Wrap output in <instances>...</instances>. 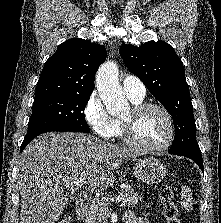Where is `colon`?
<instances>
[{"mask_svg":"<svg viewBox=\"0 0 221 223\" xmlns=\"http://www.w3.org/2000/svg\"><path fill=\"white\" fill-rule=\"evenodd\" d=\"M159 198L162 204V213L165 223H181L179 210L175 204V193L172 186L168 183L159 188ZM58 223H72L69 217H62Z\"/></svg>","mask_w":221,"mask_h":223,"instance_id":"colon-1","label":"colon"}]
</instances>
